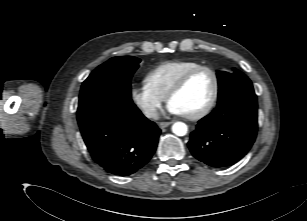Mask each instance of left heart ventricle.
<instances>
[{"label": "left heart ventricle", "mask_w": 307, "mask_h": 221, "mask_svg": "<svg viewBox=\"0 0 307 221\" xmlns=\"http://www.w3.org/2000/svg\"><path fill=\"white\" fill-rule=\"evenodd\" d=\"M213 87L211 73L201 70L190 78L185 87L170 100V103L184 115L194 114L209 102Z\"/></svg>", "instance_id": "1"}]
</instances>
